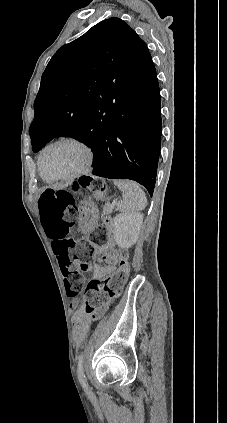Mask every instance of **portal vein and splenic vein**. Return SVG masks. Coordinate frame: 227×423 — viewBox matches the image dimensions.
I'll return each instance as SVG.
<instances>
[{"instance_id":"portal-vein-and-splenic-vein-1","label":"portal vein and splenic vein","mask_w":227,"mask_h":423,"mask_svg":"<svg viewBox=\"0 0 227 423\" xmlns=\"http://www.w3.org/2000/svg\"><path fill=\"white\" fill-rule=\"evenodd\" d=\"M117 205V200L111 202V206H109L110 210H113L114 206Z\"/></svg>"}]
</instances>
